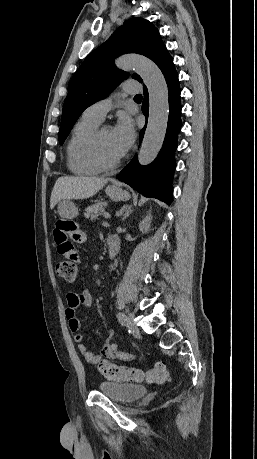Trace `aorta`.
I'll return each mask as SVG.
<instances>
[{
	"label": "aorta",
	"mask_w": 257,
	"mask_h": 459,
	"mask_svg": "<svg viewBox=\"0 0 257 459\" xmlns=\"http://www.w3.org/2000/svg\"><path fill=\"white\" fill-rule=\"evenodd\" d=\"M116 64L122 69L133 68L143 79L149 94V119L139 152V162L150 164L160 151L168 123V87L158 66L143 56L126 55Z\"/></svg>",
	"instance_id": "762f6f07"
}]
</instances>
